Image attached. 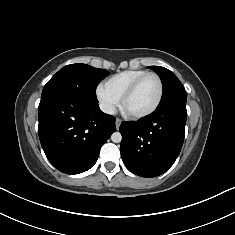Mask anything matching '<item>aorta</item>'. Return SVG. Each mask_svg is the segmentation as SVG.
I'll return each instance as SVG.
<instances>
[{
    "mask_svg": "<svg viewBox=\"0 0 235 235\" xmlns=\"http://www.w3.org/2000/svg\"><path fill=\"white\" fill-rule=\"evenodd\" d=\"M111 140L114 142V143H119L121 142L122 140V135L120 132H114L112 135H111Z\"/></svg>",
    "mask_w": 235,
    "mask_h": 235,
    "instance_id": "762f6f07",
    "label": "aorta"
}]
</instances>
